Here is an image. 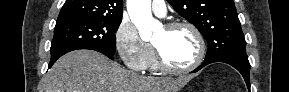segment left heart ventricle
I'll use <instances>...</instances> for the list:
<instances>
[{
	"label": "left heart ventricle",
	"mask_w": 289,
	"mask_h": 92,
	"mask_svg": "<svg viewBox=\"0 0 289 92\" xmlns=\"http://www.w3.org/2000/svg\"><path fill=\"white\" fill-rule=\"evenodd\" d=\"M153 44L164 59L172 66L185 67L194 62L198 44L193 33L187 28H162L154 37Z\"/></svg>",
	"instance_id": "b2bd125f"
}]
</instances>
